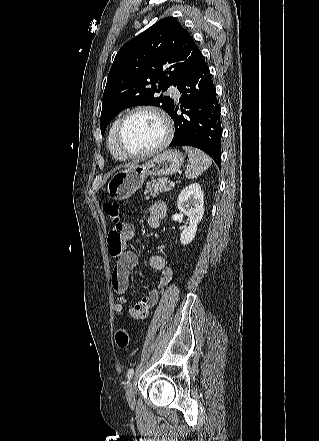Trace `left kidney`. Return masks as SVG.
<instances>
[{
    "label": "left kidney",
    "mask_w": 319,
    "mask_h": 441,
    "mask_svg": "<svg viewBox=\"0 0 319 441\" xmlns=\"http://www.w3.org/2000/svg\"><path fill=\"white\" fill-rule=\"evenodd\" d=\"M177 206L180 212L185 214L189 220V227L180 234V242L187 245L193 241L197 232V224L204 214V196L201 186L192 183L179 194Z\"/></svg>",
    "instance_id": "1"
}]
</instances>
